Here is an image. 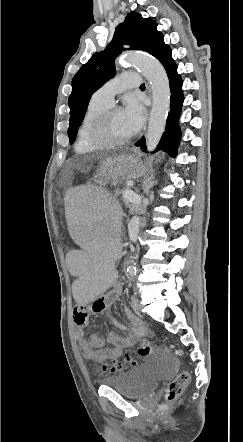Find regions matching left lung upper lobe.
I'll list each match as a JSON object with an SVG mask.
<instances>
[{
    "mask_svg": "<svg viewBox=\"0 0 243 442\" xmlns=\"http://www.w3.org/2000/svg\"><path fill=\"white\" fill-rule=\"evenodd\" d=\"M163 40L157 24L151 18H142L139 13L131 12L114 33L113 40L107 47L92 55L82 65L72 80V93L69 96L70 120L68 136L74 142L92 94L115 75V58L122 53L123 45H130L132 50H142L153 55L157 45Z\"/></svg>",
    "mask_w": 243,
    "mask_h": 442,
    "instance_id": "left-lung-upper-lobe-1",
    "label": "left lung upper lobe"
}]
</instances>
